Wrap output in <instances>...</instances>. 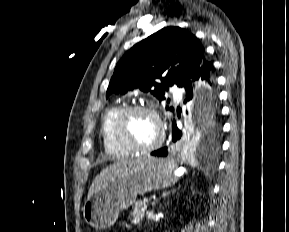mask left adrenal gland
<instances>
[{
  "label": "left adrenal gland",
  "mask_w": 289,
  "mask_h": 232,
  "mask_svg": "<svg viewBox=\"0 0 289 232\" xmlns=\"http://www.w3.org/2000/svg\"><path fill=\"white\" fill-rule=\"evenodd\" d=\"M175 190H173L172 192H174ZM170 192L164 193L162 196L165 197L169 194Z\"/></svg>",
  "instance_id": "a2214340"
}]
</instances>
